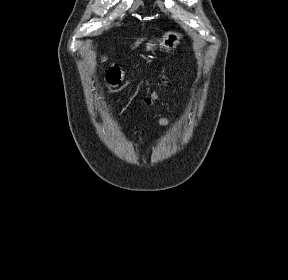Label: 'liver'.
Instances as JSON below:
<instances>
[{
	"label": "liver",
	"instance_id": "6515ba94",
	"mask_svg": "<svg viewBox=\"0 0 288 280\" xmlns=\"http://www.w3.org/2000/svg\"><path fill=\"white\" fill-rule=\"evenodd\" d=\"M139 44H140V41H137V42H135L134 46H138ZM106 59H107L106 57H103L102 61H105Z\"/></svg>",
	"mask_w": 288,
	"mask_h": 280
}]
</instances>
